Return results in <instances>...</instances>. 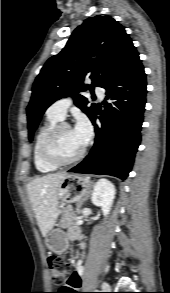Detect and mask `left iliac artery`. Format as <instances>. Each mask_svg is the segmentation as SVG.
Listing matches in <instances>:
<instances>
[{
	"instance_id": "44dca946",
	"label": "left iliac artery",
	"mask_w": 170,
	"mask_h": 293,
	"mask_svg": "<svg viewBox=\"0 0 170 293\" xmlns=\"http://www.w3.org/2000/svg\"><path fill=\"white\" fill-rule=\"evenodd\" d=\"M104 290H109V289H107V288H103Z\"/></svg>"
}]
</instances>
